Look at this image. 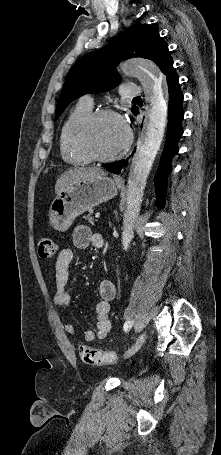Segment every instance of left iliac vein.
<instances>
[{"instance_id":"obj_1","label":"left iliac vein","mask_w":221,"mask_h":455,"mask_svg":"<svg viewBox=\"0 0 221 455\" xmlns=\"http://www.w3.org/2000/svg\"><path fill=\"white\" fill-rule=\"evenodd\" d=\"M145 340L146 335L144 333L140 334L135 343L133 344V346L131 347V349L126 352L125 357L128 358L134 355L142 347Z\"/></svg>"}]
</instances>
